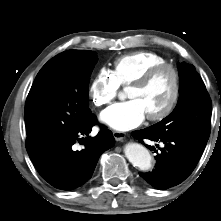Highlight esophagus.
<instances>
[{
  "label": "esophagus",
  "instance_id": "obj_1",
  "mask_svg": "<svg viewBox=\"0 0 221 221\" xmlns=\"http://www.w3.org/2000/svg\"><path fill=\"white\" fill-rule=\"evenodd\" d=\"M113 137L115 138L116 141H122L126 137V133L121 131H114Z\"/></svg>",
  "mask_w": 221,
  "mask_h": 221
}]
</instances>
